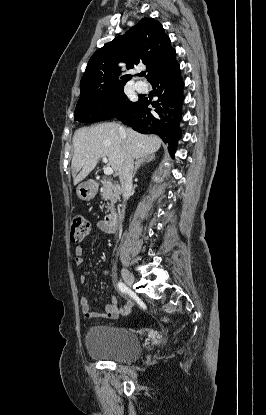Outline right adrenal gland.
I'll return each instance as SVG.
<instances>
[{
    "instance_id": "obj_1",
    "label": "right adrenal gland",
    "mask_w": 266,
    "mask_h": 415,
    "mask_svg": "<svg viewBox=\"0 0 266 415\" xmlns=\"http://www.w3.org/2000/svg\"><path fill=\"white\" fill-rule=\"evenodd\" d=\"M155 155L151 154L149 156L137 159L135 162V167H134V171H133V177L136 175L137 170L140 166L144 165L145 163H149L150 161L154 160Z\"/></svg>"
}]
</instances>
